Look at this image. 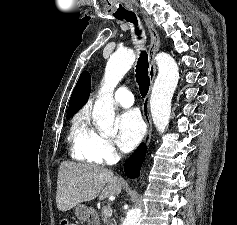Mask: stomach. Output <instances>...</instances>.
<instances>
[{
	"mask_svg": "<svg viewBox=\"0 0 237 225\" xmlns=\"http://www.w3.org/2000/svg\"><path fill=\"white\" fill-rule=\"evenodd\" d=\"M75 214L80 221H86L93 214V211L84 204H79L75 208Z\"/></svg>",
	"mask_w": 237,
	"mask_h": 225,
	"instance_id": "1",
	"label": "stomach"
}]
</instances>
